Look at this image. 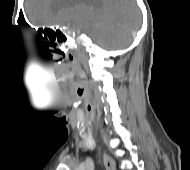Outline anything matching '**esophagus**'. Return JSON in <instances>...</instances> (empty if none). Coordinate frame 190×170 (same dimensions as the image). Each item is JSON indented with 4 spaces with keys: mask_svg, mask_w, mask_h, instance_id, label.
Returning <instances> with one entry per match:
<instances>
[{
    "mask_svg": "<svg viewBox=\"0 0 190 170\" xmlns=\"http://www.w3.org/2000/svg\"><path fill=\"white\" fill-rule=\"evenodd\" d=\"M104 164L106 167V170H116V163L112 157L109 155H104Z\"/></svg>",
    "mask_w": 190,
    "mask_h": 170,
    "instance_id": "esophagus-1",
    "label": "esophagus"
}]
</instances>
